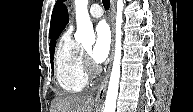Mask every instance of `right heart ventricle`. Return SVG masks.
Segmentation results:
<instances>
[{
	"label": "right heart ventricle",
	"instance_id": "right-heart-ventricle-1",
	"mask_svg": "<svg viewBox=\"0 0 193 112\" xmlns=\"http://www.w3.org/2000/svg\"><path fill=\"white\" fill-rule=\"evenodd\" d=\"M55 76L66 93L81 92L88 82L82 47L72 38V28L61 36L55 51Z\"/></svg>",
	"mask_w": 193,
	"mask_h": 112
}]
</instances>
